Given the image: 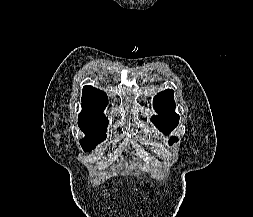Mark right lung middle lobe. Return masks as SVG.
Masks as SVG:
<instances>
[{"label":"right lung middle lobe","instance_id":"right-lung-middle-lobe-1","mask_svg":"<svg viewBox=\"0 0 253 217\" xmlns=\"http://www.w3.org/2000/svg\"><path fill=\"white\" fill-rule=\"evenodd\" d=\"M79 128L85 134L80 140L84 151H91L95 146L106 139L108 123H83L78 122Z\"/></svg>","mask_w":253,"mask_h":217}]
</instances>
